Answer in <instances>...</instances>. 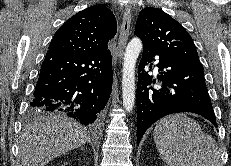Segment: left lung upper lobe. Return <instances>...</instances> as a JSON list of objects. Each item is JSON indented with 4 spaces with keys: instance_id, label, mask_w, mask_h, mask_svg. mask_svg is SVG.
<instances>
[{
    "instance_id": "1",
    "label": "left lung upper lobe",
    "mask_w": 231,
    "mask_h": 166,
    "mask_svg": "<svg viewBox=\"0 0 231 166\" xmlns=\"http://www.w3.org/2000/svg\"><path fill=\"white\" fill-rule=\"evenodd\" d=\"M135 34L143 46L170 59L200 63L195 44L186 29L158 8H145L139 13Z\"/></svg>"
}]
</instances>
